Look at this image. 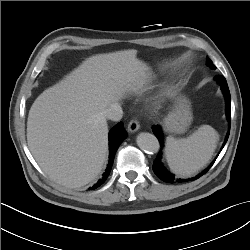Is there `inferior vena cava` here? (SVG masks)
Masks as SVG:
<instances>
[{
  "label": "inferior vena cava",
  "mask_w": 250,
  "mask_h": 250,
  "mask_svg": "<svg viewBox=\"0 0 250 250\" xmlns=\"http://www.w3.org/2000/svg\"><path fill=\"white\" fill-rule=\"evenodd\" d=\"M104 116L112 121H119L123 116V111L118 103L112 104L110 107L104 110Z\"/></svg>",
  "instance_id": "obj_1"
}]
</instances>
